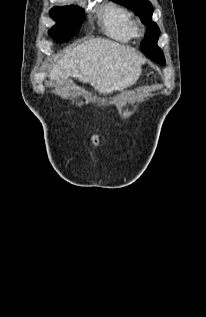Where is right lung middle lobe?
Here are the masks:
<instances>
[{"mask_svg":"<svg viewBox=\"0 0 206 317\" xmlns=\"http://www.w3.org/2000/svg\"><path fill=\"white\" fill-rule=\"evenodd\" d=\"M50 16L57 22L49 30V35L58 43L71 39L81 26L83 10L78 6L54 7L50 10Z\"/></svg>","mask_w":206,"mask_h":317,"instance_id":"right-lung-middle-lobe-1","label":"right lung middle lobe"}]
</instances>
